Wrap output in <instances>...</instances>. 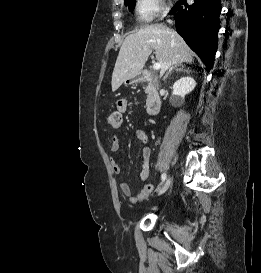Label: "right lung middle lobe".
Wrapping results in <instances>:
<instances>
[{"label": "right lung middle lobe", "instance_id": "obj_1", "mask_svg": "<svg viewBox=\"0 0 261 273\" xmlns=\"http://www.w3.org/2000/svg\"><path fill=\"white\" fill-rule=\"evenodd\" d=\"M125 5L128 6L129 11H132L134 9L135 0H125Z\"/></svg>", "mask_w": 261, "mask_h": 273}]
</instances>
